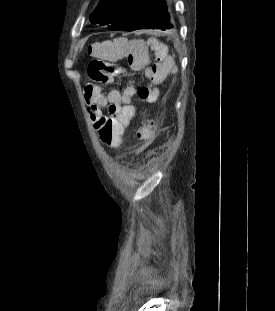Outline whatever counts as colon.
Listing matches in <instances>:
<instances>
[{
  "instance_id": "obj_1",
  "label": "colon",
  "mask_w": 275,
  "mask_h": 311,
  "mask_svg": "<svg viewBox=\"0 0 275 311\" xmlns=\"http://www.w3.org/2000/svg\"><path fill=\"white\" fill-rule=\"evenodd\" d=\"M88 51L90 55L97 56L101 53L102 46L101 44L91 45ZM87 72L94 81L108 82L111 77L120 74L121 71L115 64L95 58L88 64ZM157 95V89L153 85H143L138 89V98L143 102L153 103ZM121 130H129V118L102 119L99 138L107 147L118 148L121 144Z\"/></svg>"
}]
</instances>
